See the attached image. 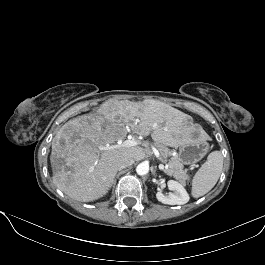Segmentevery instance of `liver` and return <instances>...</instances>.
<instances>
[{
  "instance_id": "1",
  "label": "liver",
  "mask_w": 265,
  "mask_h": 265,
  "mask_svg": "<svg viewBox=\"0 0 265 265\" xmlns=\"http://www.w3.org/2000/svg\"><path fill=\"white\" fill-rule=\"evenodd\" d=\"M189 116L165 103H132L108 100L96 113L66 122L52 140L50 156L54 184L70 198L90 202L106 194L117 173V163L126 158L140 161L146 152L139 144L103 150L126 137L131 130L151 135L160 144L179 147L191 139ZM58 160L61 165L58 167Z\"/></svg>"
}]
</instances>
